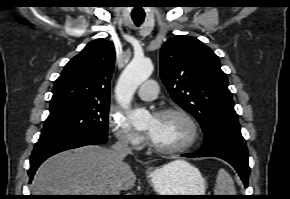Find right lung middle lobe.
<instances>
[{
	"mask_svg": "<svg viewBox=\"0 0 290 199\" xmlns=\"http://www.w3.org/2000/svg\"><path fill=\"white\" fill-rule=\"evenodd\" d=\"M109 103H80L50 110L39 141L81 134L107 136Z\"/></svg>",
	"mask_w": 290,
	"mask_h": 199,
	"instance_id": "right-lung-middle-lobe-1",
	"label": "right lung middle lobe"
}]
</instances>
